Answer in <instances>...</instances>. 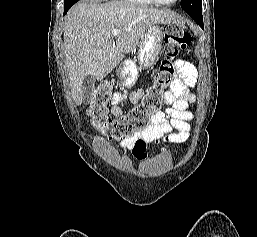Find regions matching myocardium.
<instances>
[{"label":"myocardium","instance_id":"myocardium-1","mask_svg":"<svg viewBox=\"0 0 257 237\" xmlns=\"http://www.w3.org/2000/svg\"><path fill=\"white\" fill-rule=\"evenodd\" d=\"M153 3H156L158 5H162V6H172L175 5L179 0H173L172 2H164L161 0H152Z\"/></svg>","mask_w":257,"mask_h":237}]
</instances>
